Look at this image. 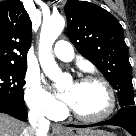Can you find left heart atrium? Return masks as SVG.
<instances>
[{"label": "left heart atrium", "instance_id": "obj_1", "mask_svg": "<svg viewBox=\"0 0 136 136\" xmlns=\"http://www.w3.org/2000/svg\"><path fill=\"white\" fill-rule=\"evenodd\" d=\"M63 99L68 103V104H72L73 102V94L71 92H67L66 94H64Z\"/></svg>", "mask_w": 136, "mask_h": 136}]
</instances>
